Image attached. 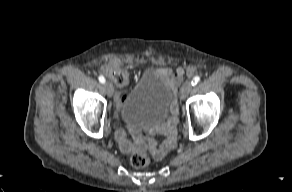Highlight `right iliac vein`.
<instances>
[{"label": "right iliac vein", "mask_w": 292, "mask_h": 192, "mask_svg": "<svg viewBox=\"0 0 292 192\" xmlns=\"http://www.w3.org/2000/svg\"><path fill=\"white\" fill-rule=\"evenodd\" d=\"M104 88H105V90H106L107 95H108L109 97H111V96L113 95V92H114V88H113L112 84L109 83V82H106V83L104 84Z\"/></svg>", "instance_id": "obj_1"}]
</instances>
